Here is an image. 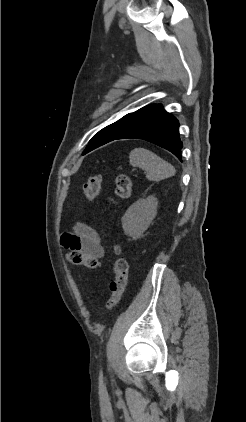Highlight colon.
Segmentation results:
<instances>
[{
  "label": "colon",
  "mask_w": 246,
  "mask_h": 422,
  "mask_svg": "<svg viewBox=\"0 0 246 422\" xmlns=\"http://www.w3.org/2000/svg\"><path fill=\"white\" fill-rule=\"evenodd\" d=\"M115 194L109 198L111 206L130 197L132 192V181L126 174H119L116 178ZM102 185L101 175L91 176L83 185V193L93 199L97 196ZM113 261L112 273L113 280L110 283L111 295L107 302V309L113 310L121 301L127 286L128 265L124 258L120 256V249L117 245L112 247ZM67 259L74 265H84L89 269H95L98 266V260L92 256L86 255L79 250H72L68 253Z\"/></svg>",
  "instance_id": "5ec220e1"
}]
</instances>
